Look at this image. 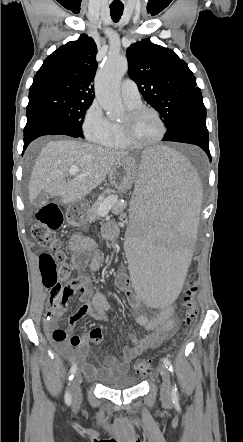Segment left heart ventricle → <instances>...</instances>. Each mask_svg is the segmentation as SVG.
<instances>
[{
  "instance_id": "1",
  "label": "left heart ventricle",
  "mask_w": 243,
  "mask_h": 442,
  "mask_svg": "<svg viewBox=\"0 0 243 442\" xmlns=\"http://www.w3.org/2000/svg\"><path fill=\"white\" fill-rule=\"evenodd\" d=\"M126 117V116H125ZM160 133V124L151 112L140 115L131 128L132 139L137 142H148L155 139Z\"/></svg>"
}]
</instances>
